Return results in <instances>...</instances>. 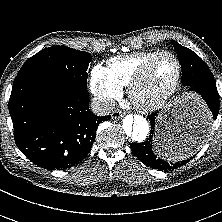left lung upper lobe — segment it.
Wrapping results in <instances>:
<instances>
[{
  "label": "left lung upper lobe",
  "instance_id": "5c2ea615",
  "mask_svg": "<svg viewBox=\"0 0 222 222\" xmlns=\"http://www.w3.org/2000/svg\"><path fill=\"white\" fill-rule=\"evenodd\" d=\"M175 51L180 59V63L186 62L190 65H195L197 68V74L192 78H189L182 71V83L184 86L190 85V83H197L200 85L216 87L215 79L207 66V64L192 50L183 47L178 42L172 40ZM185 64V63H183ZM158 167L164 166L161 160H157Z\"/></svg>",
  "mask_w": 222,
  "mask_h": 222
}]
</instances>
